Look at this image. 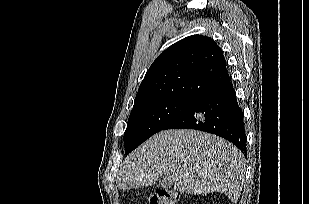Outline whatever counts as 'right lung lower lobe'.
I'll return each instance as SVG.
<instances>
[{
    "label": "right lung lower lobe",
    "instance_id": "obj_1",
    "mask_svg": "<svg viewBox=\"0 0 309 204\" xmlns=\"http://www.w3.org/2000/svg\"><path fill=\"white\" fill-rule=\"evenodd\" d=\"M166 129H196L218 135L232 142L246 156L243 111L232 84L198 101L163 130Z\"/></svg>",
    "mask_w": 309,
    "mask_h": 204
}]
</instances>
